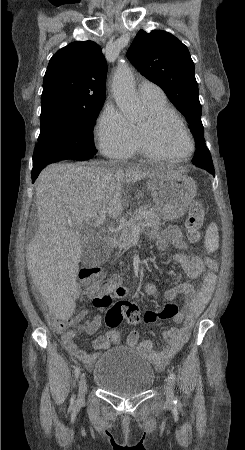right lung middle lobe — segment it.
I'll use <instances>...</instances> for the list:
<instances>
[{
    "instance_id": "right-lung-middle-lobe-1",
    "label": "right lung middle lobe",
    "mask_w": 245,
    "mask_h": 450,
    "mask_svg": "<svg viewBox=\"0 0 245 450\" xmlns=\"http://www.w3.org/2000/svg\"><path fill=\"white\" fill-rule=\"evenodd\" d=\"M102 106L81 109L54 105L42 109L41 131L38 149L33 153V168L63 156L95 154L92 127Z\"/></svg>"
}]
</instances>
